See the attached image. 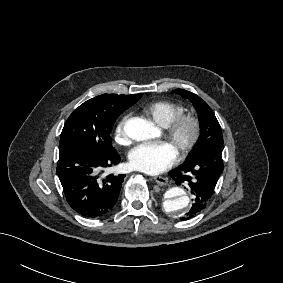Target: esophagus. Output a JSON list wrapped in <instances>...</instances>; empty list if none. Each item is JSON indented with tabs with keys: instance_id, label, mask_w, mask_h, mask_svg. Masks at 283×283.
<instances>
[{
	"instance_id": "esophagus-1",
	"label": "esophagus",
	"mask_w": 283,
	"mask_h": 283,
	"mask_svg": "<svg viewBox=\"0 0 283 283\" xmlns=\"http://www.w3.org/2000/svg\"><path fill=\"white\" fill-rule=\"evenodd\" d=\"M154 181L156 183H158L160 186H164V185H167L168 184V179L167 178H164L162 176H154L153 177Z\"/></svg>"
}]
</instances>
